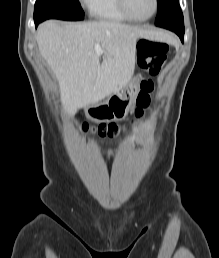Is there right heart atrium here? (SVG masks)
I'll return each instance as SVG.
<instances>
[{"instance_id": "right-heart-atrium-1", "label": "right heart atrium", "mask_w": 219, "mask_h": 258, "mask_svg": "<svg viewBox=\"0 0 219 258\" xmlns=\"http://www.w3.org/2000/svg\"><path fill=\"white\" fill-rule=\"evenodd\" d=\"M79 1L87 9H90L92 3L94 2V0H79Z\"/></svg>"}]
</instances>
